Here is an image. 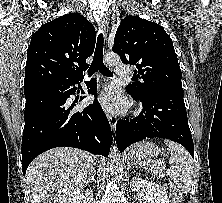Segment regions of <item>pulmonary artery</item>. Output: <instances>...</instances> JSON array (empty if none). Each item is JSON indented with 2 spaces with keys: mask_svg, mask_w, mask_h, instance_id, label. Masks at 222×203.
Returning a JSON list of instances; mask_svg holds the SVG:
<instances>
[{
  "mask_svg": "<svg viewBox=\"0 0 222 203\" xmlns=\"http://www.w3.org/2000/svg\"><path fill=\"white\" fill-rule=\"evenodd\" d=\"M115 73L121 77L128 76L130 74V69L124 64H119L115 67Z\"/></svg>",
  "mask_w": 222,
  "mask_h": 203,
  "instance_id": "pulmonary-artery-1",
  "label": "pulmonary artery"
}]
</instances>
